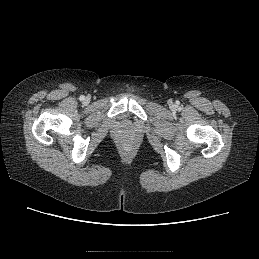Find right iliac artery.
Instances as JSON below:
<instances>
[{"label": "right iliac artery", "instance_id": "82829eb1", "mask_svg": "<svg viewBox=\"0 0 259 259\" xmlns=\"http://www.w3.org/2000/svg\"><path fill=\"white\" fill-rule=\"evenodd\" d=\"M84 98H85L84 96H81V97H80V100H84Z\"/></svg>", "mask_w": 259, "mask_h": 259}]
</instances>
